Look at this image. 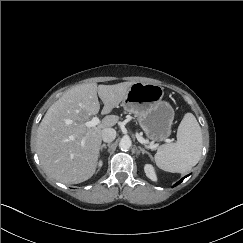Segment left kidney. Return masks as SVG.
Returning a JSON list of instances; mask_svg holds the SVG:
<instances>
[{
    "mask_svg": "<svg viewBox=\"0 0 243 243\" xmlns=\"http://www.w3.org/2000/svg\"><path fill=\"white\" fill-rule=\"evenodd\" d=\"M144 171L146 176L151 179L152 181H157V176H156V172L154 170V167L151 164H146L144 166Z\"/></svg>",
    "mask_w": 243,
    "mask_h": 243,
    "instance_id": "1",
    "label": "left kidney"
}]
</instances>
